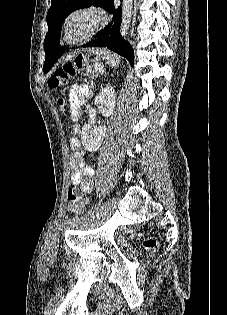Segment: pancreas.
<instances>
[{
	"mask_svg": "<svg viewBox=\"0 0 227 315\" xmlns=\"http://www.w3.org/2000/svg\"><path fill=\"white\" fill-rule=\"evenodd\" d=\"M99 67L98 66H88L87 67V74H89V76L91 77V78H94L95 76H96V74H98L99 73V69H98Z\"/></svg>",
	"mask_w": 227,
	"mask_h": 315,
	"instance_id": "cf45deb5",
	"label": "pancreas"
}]
</instances>
